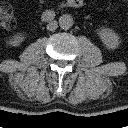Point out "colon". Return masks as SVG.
I'll return each mask as SVG.
<instances>
[{"label": "colon", "instance_id": "colon-1", "mask_svg": "<svg viewBox=\"0 0 128 128\" xmlns=\"http://www.w3.org/2000/svg\"><path fill=\"white\" fill-rule=\"evenodd\" d=\"M14 15L10 6L6 3L0 4V28L10 29L14 25Z\"/></svg>", "mask_w": 128, "mask_h": 128}]
</instances>
